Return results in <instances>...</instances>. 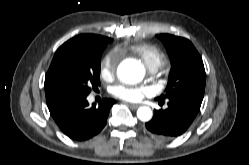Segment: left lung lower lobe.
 I'll return each mask as SVG.
<instances>
[{
	"instance_id": "0a47b994",
	"label": "left lung lower lobe",
	"mask_w": 249,
	"mask_h": 165,
	"mask_svg": "<svg viewBox=\"0 0 249 165\" xmlns=\"http://www.w3.org/2000/svg\"><path fill=\"white\" fill-rule=\"evenodd\" d=\"M162 105L164 100L157 99ZM165 110H154L153 118L147 122V130L159 139L169 140L182 135L191 125L200 110L202 101L178 96L166 99Z\"/></svg>"
}]
</instances>
